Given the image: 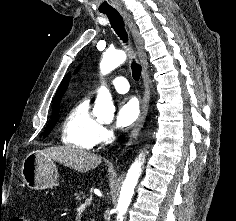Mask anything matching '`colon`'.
Listing matches in <instances>:
<instances>
[{
    "instance_id": "obj_1",
    "label": "colon",
    "mask_w": 236,
    "mask_h": 221,
    "mask_svg": "<svg viewBox=\"0 0 236 221\" xmlns=\"http://www.w3.org/2000/svg\"><path fill=\"white\" fill-rule=\"evenodd\" d=\"M12 221H30V219L24 215H18Z\"/></svg>"
}]
</instances>
